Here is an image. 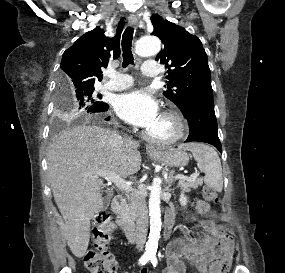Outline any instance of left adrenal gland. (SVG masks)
Returning <instances> with one entry per match:
<instances>
[{"label":"left adrenal gland","instance_id":"1","mask_svg":"<svg viewBox=\"0 0 285 273\" xmlns=\"http://www.w3.org/2000/svg\"><path fill=\"white\" fill-rule=\"evenodd\" d=\"M173 174H174V172L172 171L169 175L168 180H167L169 186H171V183L173 182V178H174Z\"/></svg>","mask_w":285,"mask_h":273}]
</instances>
